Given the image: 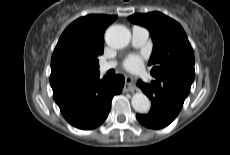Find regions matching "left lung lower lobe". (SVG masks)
<instances>
[{
  "mask_svg": "<svg viewBox=\"0 0 230 155\" xmlns=\"http://www.w3.org/2000/svg\"><path fill=\"white\" fill-rule=\"evenodd\" d=\"M142 91L151 99V109L146 115L137 114L144 126L160 129L168 126L179 114L189 90L167 81H153L152 85L138 82Z\"/></svg>",
  "mask_w": 230,
  "mask_h": 155,
  "instance_id": "left-lung-lower-lobe-1",
  "label": "left lung lower lobe"
}]
</instances>
